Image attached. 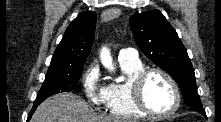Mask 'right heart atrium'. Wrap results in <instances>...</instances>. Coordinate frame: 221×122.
<instances>
[{"label": "right heart atrium", "mask_w": 221, "mask_h": 122, "mask_svg": "<svg viewBox=\"0 0 221 122\" xmlns=\"http://www.w3.org/2000/svg\"><path fill=\"white\" fill-rule=\"evenodd\" d=\"M100 72L96 64H91L84 72L82 84L87 98L95 105L106 101V86L99 85Z\"/></svg>", "instance_id": "1"}]
</instances>
